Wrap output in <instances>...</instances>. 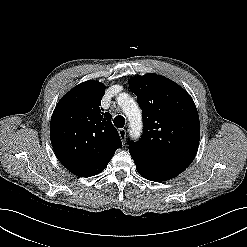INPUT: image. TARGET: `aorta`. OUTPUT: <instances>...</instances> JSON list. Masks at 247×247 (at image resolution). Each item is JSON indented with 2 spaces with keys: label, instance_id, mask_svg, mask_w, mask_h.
Masks as SVG:
<instances>
[{
  "label": "aorta",
  "instance_id": "aorta-1",
  "mask_svg": "<svg viewBox=\"0 0 247 247\" xmlns=\"http://www.w3.org/2000/svg\"><path fill=\"white\" fill-rule=\"evenodd\" d=\"M121 99H124L123 108L125 113L129 116L130 126L134 134H138L141 130V114L138 106L131 100L127 94H122Z\"/></svg>",
  "mask_w": 247,
  "mask_h": 247
}]
</instances>
